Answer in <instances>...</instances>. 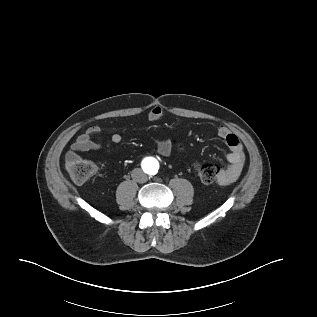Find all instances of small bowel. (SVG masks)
Masks as SVG:
<instances>
[{
	"instance_id": "obj_1",
	"label": "small bowel",
	"mask_w": 317,
	"mask_h": 317,
	"mask_svg": "<svg viewBox=\"0 0 317 317\" xmlns=\"http://www.w3.org/2000/svg\"><path fill=\"white\" fill-rule=\"evenodd\" d=\"M163 118V110L159 106L151 108L148 113V119L152 122H158ZM101 132L99 126H91L81 134L73 143L71 150L67 153L66 160L72 161L80 159V152L98 150L101 146L94 140ZM217 136L225 142L228 147L227 160L229 165L223 168L218 175L217 182L219 185H229L235 182L241 174L245 164V154L242 143L239 138L233 134L227 127L219 126ZM122 140L120 134L111 135L113 143H119ZM176 144L169 139H162L157 142V152L162 156H169Z\"/></svg>"
}]
</instances>
